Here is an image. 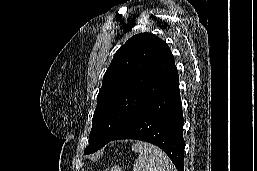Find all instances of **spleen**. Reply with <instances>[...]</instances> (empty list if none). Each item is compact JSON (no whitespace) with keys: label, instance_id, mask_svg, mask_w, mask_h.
Segmentation results:
<instances>
[{"label":"spleen","instance_id":"obj_1","mask_svg":"<svg viewBox=\"0 0 257 171\" xmlns=\"http://www.w3.org/2000/svg\"><path fill=\"white\" fill-rule=\"evenodd\" d=\"M132 150L139 153L133 171H177L168 156L152 144L137 142Z\"/></svg>","mask_w":257,"mask_h":171}]
</instances>
